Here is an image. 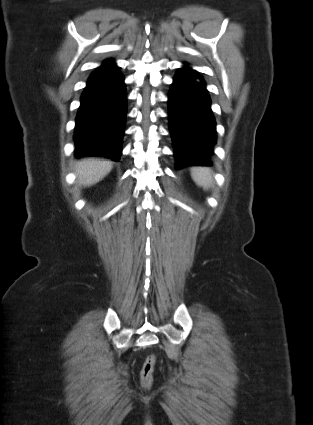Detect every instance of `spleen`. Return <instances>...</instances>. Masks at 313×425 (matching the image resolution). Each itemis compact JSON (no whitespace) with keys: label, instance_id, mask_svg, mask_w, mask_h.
I'll return each mask as SVG.
<instances>
[{"label":"spleen","instance_id":"spleen-1","mask_svg":"<svg viewBox=\"0 0 313 425\" xmlns=\"http://www.w3.org/2000/svg\"><path fill=\"white\" fill-rule=\"evenodd\" d=\"M191 176L194 182L207 190L213 182L212 172L209 168L195 167L191 169Z\"/></svg>","mask_w":313,"mask_h":425}]
</instances>
